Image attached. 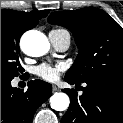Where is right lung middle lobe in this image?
<instances>
[{
    "label": "right lung middle lobe",
    "mask_w": 123,
    "mask_h": 123,
    "mask_svg": "<svg viewBox=\"0 0 123 123\" xmlns=\"http://www.w3.org/2000/svg\"><path fill=\"white\" fill-rule=\"evenodd\" d=\"M24 32L18 20L1 15V81L12 80L22 73L19 40Z\"/></svg>",
    "instance_id": "obj_1"
}]
</instances>
